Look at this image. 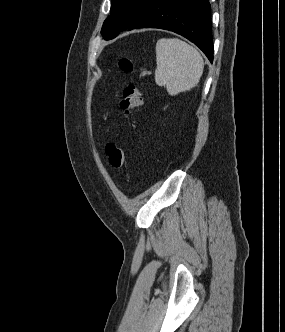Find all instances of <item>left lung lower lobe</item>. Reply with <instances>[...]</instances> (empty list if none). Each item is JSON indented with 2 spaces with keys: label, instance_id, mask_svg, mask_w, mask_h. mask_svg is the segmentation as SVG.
I'll use <instances>...</instances> for the list:
<instances>
[{
  "label": "left lung lower lobe",
  "instance_id": "left-lung-lower-lobe-1",
  "mask_svg": "<svg viewBox=\"0 0 285 332\" xmlns=\"http://www.w3.org/2000/svg\"><path fill=\"white\" fill-rule=\"evenodd\" d=\"M160 28L196 44L212 63L213 43L208 0H152L124 30Z\"/></svg>",
  "mask_w": 285,
  "mask_h": 332
}]
</instances>
